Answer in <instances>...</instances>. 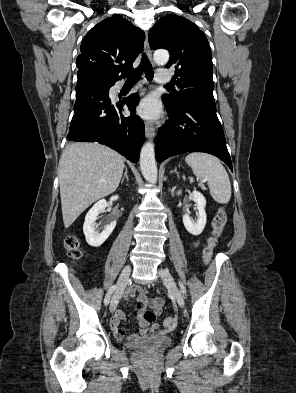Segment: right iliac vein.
<instances>
[{
  "mask_svg": "<svg viewBox=\"0 0 296 393\" xmlns=\"http://www.w3.org/2000/svg\"><path fill=\"white\" fill-rule=\"evenodd\" d=\"M130 271H131V267H130V265H127L122 270V272L119 276L118 283H117L118 284L117 290H116V292L111 300V303H110V311L111 312L115 311V309L118 305L119 298H120V296H121V294L127 284V281H128L129 275H130Z\"/></svg>",
  "mask_w": 296,
  "mask_h": 393,
  "instance_id": "right-iliac-vein-1",
  "label": "right iliac vein"
}]
</instances>
